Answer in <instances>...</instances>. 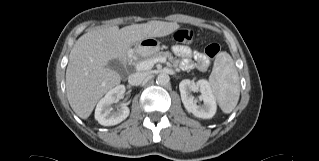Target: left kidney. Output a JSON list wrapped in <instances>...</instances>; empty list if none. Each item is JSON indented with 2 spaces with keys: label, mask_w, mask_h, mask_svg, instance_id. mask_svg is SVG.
Returning <instances> with one entry per match:
<instances>
[{
  "label": "left kidney",
  "mask_w": 319,
  "mask_h": 161,
  "mask_svg": "<svg viewBox=\"0 0 319 161\" xmlns=\"http://www.w3.org/2000/svg\"><path fill=\"white\" fill-rule=\"evenodd\" d=\"M179 90L184 107L189 113L203 119H209L215 115L217 109L215 97L206 80L202 79L197 82L189 79L182 80L179 84ZM196 91H200L203 105H197L192 96L191 93Z\"/></svg>",
  "instance_id": "5707ae66"
}]
</instances>
